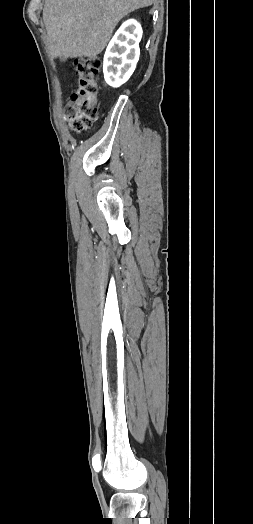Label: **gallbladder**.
Wrapping results in <instances>:
<instances>
[{
  "mask_svg": "<svg viewBox=\"0 0 253 524\" xmlns=\"http://www.w3.org/2000/svg\"><path fill=\"white\" fill-rule=\"evenodd\" d=\"M59 58H60V61H62V62L66 61V57H64V56H60Z\"/></svg>",
  "mask_w": 253,
  "mask_h": 524,
  "instance_id": "obj_1",
  "label": "gallbladder"
}]
</instances>
